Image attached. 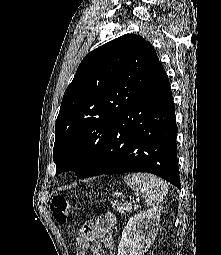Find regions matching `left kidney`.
<instances>
[{"mask_svg":"<svg viewBox=\"0 0 221 255\" xmlns=\"http://www.w3.org/2000/svg\"><path fill=\"white\" fill-rule=\"evenodd\" d=\"M162 208L153 207L131 217L122 232L117 255H144L155 239Z\"/></svg>","mask_w":221,"mask_h":255,"instance_id":"1","label":"left kidney"}]
</instances>
